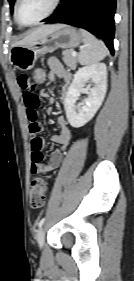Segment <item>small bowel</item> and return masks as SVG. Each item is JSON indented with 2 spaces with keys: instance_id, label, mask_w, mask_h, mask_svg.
<instances>
[{
  "instance_id": "obj_1",
  "label": "small bowel",
  "mask_w": 134,
  "mask_h": 281,
  "mask_svg": "<svg viewBox=\"0 0 134 281\" xmlns=\"http://www.w3.org/2000/svg\"><path fill=\"white\" fill-rule=\"evenodd\" d=\"M49 72L47 74L48 83H52L56 78L60 79L63 83L61 101L65 102L67 97L68 87L71 82V74L64 68L61 62L57 58H49L48 60ZM17 85L22 91V98L26 109V115L29 120V131L33 135L31 140V173L32 174H48L57 169L62 161L63 155L66 151L69 142L71 140V130L68 126V122L65 118L59 117L57 124L59 127L58 134H52L50 140L58 147L55 149L49 158L47 164H42L44 155V139L39 136L42 131V124L39 120V100L40 97L48 100L49 103H54V98L44 89L40 92V97L35 93L36 83L34 78L28 74H20L17 77Z\"/></svg>"
}]
</instances>
